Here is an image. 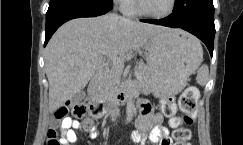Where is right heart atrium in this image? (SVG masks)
Wrapping results in <instances>:
<instances>
[{
  "label": "right heart atrium",
  "instance_id": "1",
  "mask_svg": "<svg viewBox=\"0 0 243 145\" xmlns=\"http://www.w3.org/2000/svg\"><path fill=\"white\" fill-rule=\"evenodd\" d=\"M122 8H126L132 2V0H115Z\"/></svg>",
  "mask_w": 243,
  "mask_h": 145
}]
</instances>
